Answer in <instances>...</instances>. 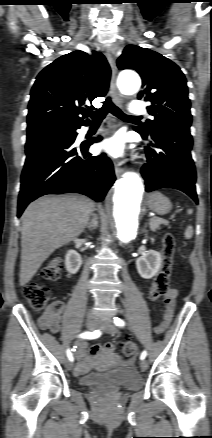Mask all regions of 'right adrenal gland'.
<instances>
[{
  "label": "right adrenal gland",
  "instance_id": "obj_1",
  "mask_svg": "<svg viewBox=\"0 0 212 438\" xmlns=\"http://www.w3.org/2000/svg\"><path fill=\"white\" fill-rule=\"evenodd\" d=\"M91 216H92V219L90 222H88V224L86 225V228L92 231V230L97 229V227H98V217L95 213H92Z\"/></svg>",
  "mask_w": 212,
  "mask_h": 438
}]
</instances>
